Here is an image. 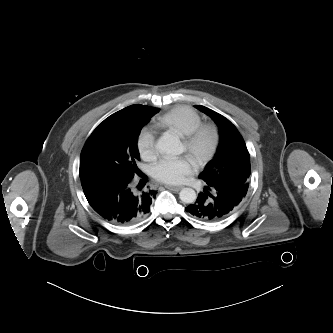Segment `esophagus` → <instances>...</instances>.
<instances>
[{
    "label": "esophagus",
    "instance_id": "1",
    "mask_svg": "<svg viewBox=\"0 0 333 333\" xmlns=\"http://www.w3.org/2000/svg\"><path fill=\"white\" fill-rule=\"evenodd\" d=\"M167 189L171 190V191H175L178 192L179 190L182 189V186H171V185H167L165 186Z\"/></svg>",
    "mask_w": 333,
    "mask_h": 333
}]
</instances>
